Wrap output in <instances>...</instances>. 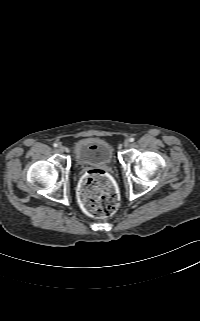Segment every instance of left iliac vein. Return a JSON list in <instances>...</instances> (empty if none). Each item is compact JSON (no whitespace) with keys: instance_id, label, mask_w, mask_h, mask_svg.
Masks as SVG:
<instances>
[{"instance_id":"4c4485c4","label":"left iliac vein","mask_w":200,"mask_h":321,"mask_svg":"<svg viewBox=\"0 0 200 321\" xmlns=\"http://www.w3.org/2000/svg\"><path fill=\"white\" fill-rule=\"evenodd\" d=\"M124 146L125 147H129L130 146V141L129 140H125L124 141Z\"/></svg>"}]
</instances>
